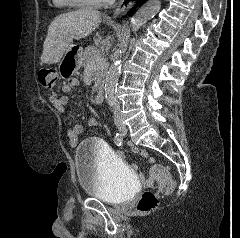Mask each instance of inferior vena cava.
<instances>
[{"label":"inferior vena cava","mask_w":240,"mask_h":238,"mask_svg":"<svg viewBox=\"0 0 240 238\" xmlns=\"http://www.w3.org/2000/svg\"><path fill=\"white\" fill-rule=\"evenodd\" d=\"M113 113H114V120L115 122H119L122 120L121 118V108H120V103L116 100L114 105H113Z\"/></svg>","instance_id":"inferior-vena-cava-1"}]
</instances>
